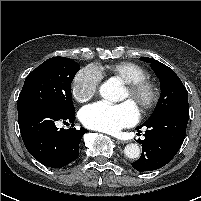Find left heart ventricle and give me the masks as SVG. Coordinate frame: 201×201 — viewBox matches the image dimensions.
Segmentation results:
<instances>
[{"label": "left heart ventricle", "mask_w": 201, "mask_h": 201, "mask_svg": "<svg viewBox=\"0 0 201 201\" xmlns=\"http://www.w3.org/2000/svg\"><path fill=\"white\" fill-rule=\"evenodd\" d=\"M122 100H123V101H130V102H132L136 107L138 106V101H136V100H134V99H132V98L130 97L129 91H128L127 89H125V91H124V95H123V97H122Z\"/></svg>", "instance_id": "1"}]
</instances>
